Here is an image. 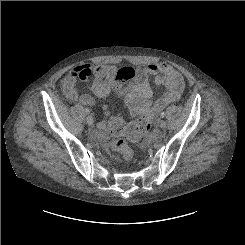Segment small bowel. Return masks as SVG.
<instances>
[{
  "label": "small bowel",
  "instance_id": "obj_1",
  "mask_svg": "<svg viewBox=\"0 0 245 245\" xmlns=\"http://www.w3.org/2000/svg\"><path fill=\"white\" fill-rule=\"evenodd\" d=\"M126 69L117 70L114 66L83 65L71 70L63 81V90L66 97L82 105H92L93 98L88 94H78L77 81H87L94 76L91 90L98 98H106L111 89ZM130 72V71H129ZM134 81L130 85L129 92L125 97V103L130 113L145 109L153 96V90L149 83V77H155V84L163 86L165 92L153 105L156 112H160L167 105L177 101L185 87L182 75L171 65L162 62H152L142 65L133 70ZM106 119L98 124L99 135L106 133L107 119L110 115L108 106L104 107Z\"/></svg>",
  "mask_w": 245,
  "mask_h": 245
}]
</instances>
